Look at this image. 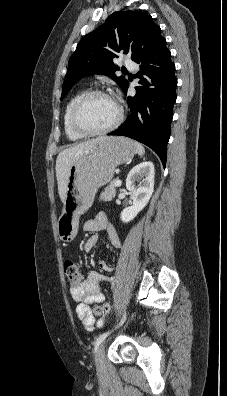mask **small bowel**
<instances>
[{"instance_id":"1","label":"small bowel","mask_w":227,"mask_h":396,"mask_svg":"<svg viewBox=\"0 0 227 396\" xmlns=\"http://www.w3.org/2000/svg\"><path fill=\"white\" fill-rule=\"evenodd\" d=\"M84 230L88 232L105 231L110 244L115 248L120 247L121 242L118 233L109 223L108 218L104 213H98L93 218L87 220L84 223ZM97 242V236H90L84 244V250L87 252L91 251L96 246ZM98 265L100 269L105 272H110L112 270V268L103 260H100ZM107 282H109V278L107 276L99 273H92L87 279L81 281L79 284L71 286L70 288L71 295L77 303V317L80 319L82 325L88 330L93 329L95 325L101 327L104 324V320L102 318H96L90 305L102 304L104 302L105 296L101 289L103 284Z\"/></svg>"}]
</instances>
